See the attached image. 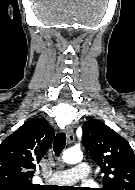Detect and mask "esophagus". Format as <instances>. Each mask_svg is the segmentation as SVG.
<instances>
[{"label":"esophagus","mask_w":135,"mask_h":190,"mask_svg":"<svg viewBox=\"0 0 135 190\" xmlns=\"http://www.w3.org/2000/svg\"><path fill=\"white\" fill-rule=\"evenodd\" d=\"M65 133H66L68 142L72 143L75 140V135H74L73 128L71 126H68L65 129Z\"/></svg>","instance_id":"1"}]
</instances>
